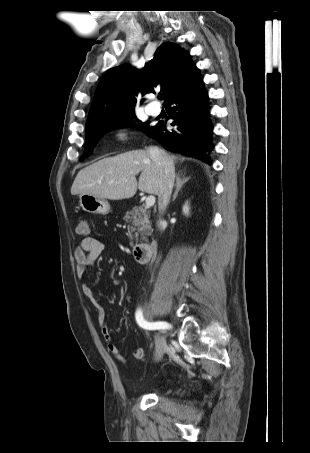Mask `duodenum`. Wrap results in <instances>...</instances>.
I'll return each instance as SVG.
<instances>
[{
	"mask_svg": "<svg viewBox=\"0 0 310 453\" xmlns=\"http://www.w3.org/2000/svg\"><path fill=\"white\" fill-rule=\"evenodd\" d=\"M133 254L138 263H146L152 257L153 247L149 243L137 244L133 249Z\"/></svg>",
	"mask_w": 310,
	"mask_h": 453,
	"instance_id": "410a0bca",
	"label": "duodenum"
}]
</instances>
